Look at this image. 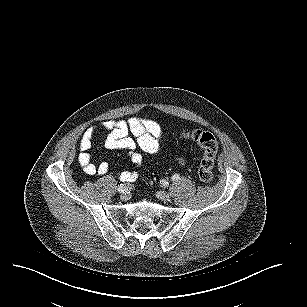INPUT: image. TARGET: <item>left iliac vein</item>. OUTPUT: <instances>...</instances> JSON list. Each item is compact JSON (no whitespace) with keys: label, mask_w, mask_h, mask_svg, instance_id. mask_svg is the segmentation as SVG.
<instances>
[{"label":"left iliac vein","mask_w":307,"mask_h":307,"mask_svg":"<svg viewBox=\"0 0 307 307\" xmlns=\"http://www.w3.org/2000/svg\"><path fill=\"white\" fill-rule=\"evenodd\" d=\"M156 196L162 201H168L170 199V194L164 191L157 192Z\"/></svg>","instance_id":"obj_1"}]
</instances>
